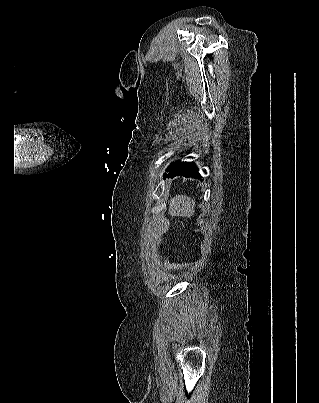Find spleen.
Returning <instances> with one entry per match:
<instances>
[{"instance_id": "1", "label": "spleen", "mask_w": 319, "mask_h": 403, "mask_svg": "<svg viewBox=\"0 0 319 403\" xmlns=\"http://www.w3.org/2000/svg\"><path fill=\"white\" fill-rule=\"evenodd\" d=\"M168 212L171 216L191 217L195 213V200L186 195H176L170 200Z\"/></svg>"}]
</instances>
